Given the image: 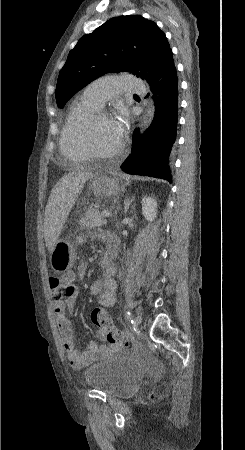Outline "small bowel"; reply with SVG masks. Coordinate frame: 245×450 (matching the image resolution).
I'll return each instance as SVG.
<instances>
[{
  "mask_svg": "<svg viewBox=\"0 0 245 450\" xmlns=\"http://www.w3.org/2000/svg\"><path fill=\"white\" fill-rule=\"evenodd\" d=\"M106 242L105 256L111 260L110 267L105 271L101 279L96 280L92 286V292L98 297L99 306L102 308L112 307L115 302L116 281L114 275L116 272L113 259L118 251V240L112 234H105ZM88 236L79 235L77 243L81 246L87 243ZM85 275L84 267L78 268V276L83 278ZM68 282H64L57 276H50L48 283L53 298V311L56 316L59 328L62 346L66 352L69 364L75 369H81L92 363L99 356L106 353L107 349L99 347L95 341H90L84 349H79L75 344V335L67 312L73 310L80 295V288L73 284L74 274H69ZM97 337L105 340L106 336L102 329L97 330Z\"/></svg>",
  "mask_w": 245,
  "mask_h": 450,
  "instance_id": "obj_1",
  "label": "small bowel"
}]
</instances>
